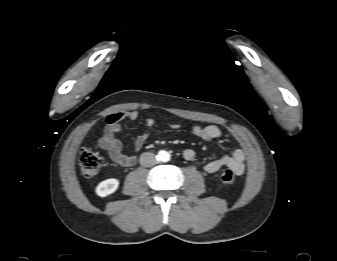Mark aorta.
<instances>
[{
  "label": "aorta",
  "mask_w": 337,
  "mask_h": 261,
  "mask_svg": "<svg viewBox=\"0 0 337 261\" xmlns=\"http://www.w3.org/2000/svg\"><path fill=\"white\" fill-rule=\"evenodd\" d=\"M158 158L162 162H167L170 160V154L167 151L162 150L158 153Z\"/></svg>",
  "instance_id": "aorta-1"
}]
</instances>
